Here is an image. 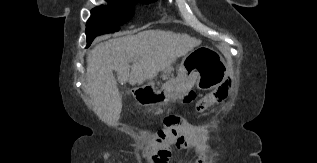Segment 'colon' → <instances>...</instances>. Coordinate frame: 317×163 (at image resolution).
I'll return each instance as SVG.
<instances>
[{"instance_id": "colon-1", "label": "colon", "mask_w": 317, "mask_h": 163, "mask_svg": "<svg viewBox=\"0 0 317 163\" xmlns=\"http://www.w3.org/2000/svg\"><path fill=\"white\" fill-rule=\"evenodd\" d=\"M229 88H230V83L226 81L224 84L217 87L210 93L202 96L196 103V109L198 111H206L212 105L224 101L228 96ZM185 101L189 102L190 97L188 96L185 99Z\"/></svg>"}]
</instances>
